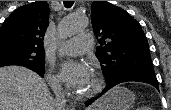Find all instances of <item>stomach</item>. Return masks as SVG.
Masks as SVG:
<instances>
[{
  "instance_id": "obj_1",
  "label": "stomach",
  "mask_w": 171,
  "mask_h": 110,
  "mask_svg": "<svg viewBox=\"0 0 171 110\" xmlns=\"http://www.w3.org/2000/svg\"><path fill=\"white\" fill-rule=\"evenodd\" d=\"M101 105L96 110H130L134 103L135 95L124 87H115L102 99Z\"/></svg>"
}]
</instances>
